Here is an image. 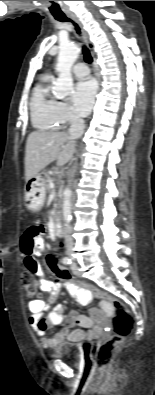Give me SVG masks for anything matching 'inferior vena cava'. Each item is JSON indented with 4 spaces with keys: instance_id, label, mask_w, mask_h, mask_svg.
Returning a JSON list of instances; mask_svg holds the SVG:
<instances>
[{
    "instance_id": "1",
    "label": "inferior vena cava",
    "mask_w": 155,
    "mask_h": 395,
    "mask_svg": "<svg viewBox=\"0 0 155 395\" xmlns=\"http://www.w3.org/2000/svg\"><path fill=\"white\" fill-rule=\"evenodd\" d=\"M84 120L78 116V115H73L71 119V126L68 130V133L72 139H78L81 137V135L84 132L85 124ZM65 245L68 254H72L73 251V239L71 236V226L68 225L65 228Z\"/></svg>"
}]
</instances>
